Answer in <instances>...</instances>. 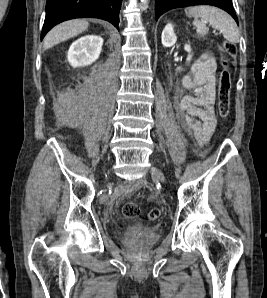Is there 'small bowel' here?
<instances>
[{"instance_id": "small-bowel-1", "label": "small bowel", "mask_w": 267, "mask_h": 298, "mask_svg": "<svg viewBox=\"0 0 267 298\" xmlns=\"http://www.w3.org/2000/svg\"><path fill=\"white\" fill-rule=\"evenodd\" d=\"M217 63L215 58L205 53L192 65L189 74L182 79V90L190 94H182L177 111L183 127L193 134L200 146H204L211 138L216 125L215 96ZM142 183L135 185V189Z\"/></svg>"}]
</instances>
